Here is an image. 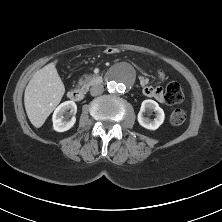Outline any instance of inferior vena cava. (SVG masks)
Here are the masks:
<instances>
[{"label":"inferior vena cava","instance_id":"obj_1","mask_svg":"<svg viewBox=\"0 0 222 222\" xmlns=\"http://www.w3.org/2000/svg\"><path fill=\"white\" fill-rule=\"evenodd\" d=\"M103 91H104L103 85L97 84V85H94V86L91 87V89H90V94H91L92 96H97V95L102 94Z\"/></svg>","mask_w":222,"mask_h":222}]
</instances>
